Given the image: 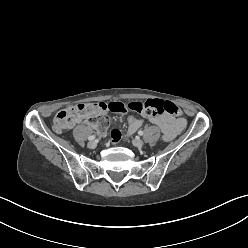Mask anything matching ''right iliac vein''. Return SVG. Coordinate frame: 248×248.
Listing matches in <instances>:
<instances>
[{
  "instance_id": "63e3f726",
  "label": "right iliac vein",
  "mask_w": 248,
  "mask_h": 248,
  "mask_svg": "<svg viewBox=\"0 0 248 248\" xmlns=\"http://www.w3.org/2000/svg\"><path fill=\"white\" fill-rule=\"evenodd\" d=\"M96 146H97V142H96V141H90V142L88 143V147H89L90 149H94V148H96Z\"/></svg>"
}]
</instances>
